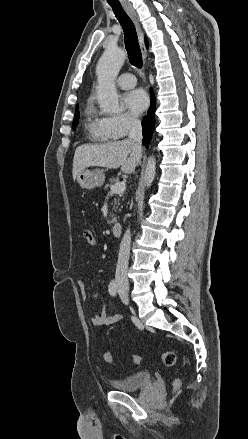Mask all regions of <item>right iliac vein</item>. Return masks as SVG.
Segmentation results:
<instances>
[{
	"instance_id": "right-iliac-vein-1",
	"label": "right iliac vein",
	"mask_w": 248,
	"mask_h": 439,
	"mask_svg": "<svg viewBox=\"0 0 248 439\" xmlns=\"http://www.w3.org/2000/svg\"><path fill=\"white\" fill-rule=\"evenodd\" d=\"M121 294H122L125 298H128V297H129L128 291H127L126 289H122V290H121Z\"/></svg>"
}]
</instances>
